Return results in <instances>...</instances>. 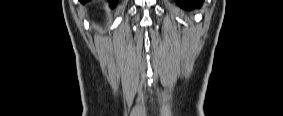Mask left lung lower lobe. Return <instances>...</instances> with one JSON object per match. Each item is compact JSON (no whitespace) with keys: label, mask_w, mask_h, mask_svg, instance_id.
Instances as JSON below:
<instances>
[{"label":"left lung lower lobe","mask_w":283,"mask_h":116,"mask_svg":"<svg viewBox=\"0 0 283 116\" xmlns=\"http://www.w3.org/2000/svg\"><path fill=\"white\" fill-rule=\"evenodd\" d=\"M179 6L190 7V4H201L203 0H175Z\"/></svg>","instance_id":"left-lung-lower-lobe-1"}]
</instances>
